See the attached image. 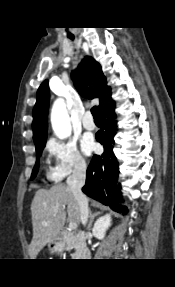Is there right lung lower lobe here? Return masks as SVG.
<instances>
[{
	"label": "right lung lower lobe",
	"mask_w": 175,
	"mask_h": 287,
	"mask_svg": "<svg viewBox=\"0 0 175 287\" xmlns=\"http://www.w3.org/2000/svg\"><path fill=\"white\" fill-rule=\"evenodd\" d=\"M114 106L115 104L100 113L102 125L96 138L104 146V153L101 156H93L87 169L86 184L82 191L112 210L126 214L127 208L117 204L122 200V196L120 185L116 186L119 168L112 150L116 130Z\"/></svg>",
	"instance_id": "98d812e1"
}]
</instances>
